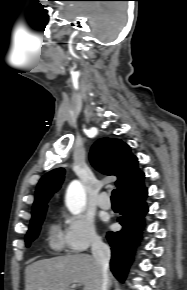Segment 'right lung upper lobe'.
<instances>
[{"label": "right lung upper lobe", "mask_w": 187, "mask_h": 290, "mask_svg": "<svg viewBox=\"0 0 187 290\" xmlns=\"http://www.w3.org/2000/svg\"><path fill=\"white\" fill-rule=\"evenodd\" d=\"M91 164L106 175H115L120 201L137 199L146 194L144 173L138 168V159L130 147L120 139L101 138L90 152ZM64 178V169L57 168L45 174L39 181L32 208V220L45 214L46 203L59 188Z\"/></svg>", "instance_id": "cb5924a9"}]
</instances>
